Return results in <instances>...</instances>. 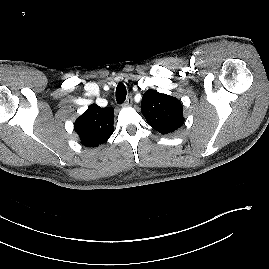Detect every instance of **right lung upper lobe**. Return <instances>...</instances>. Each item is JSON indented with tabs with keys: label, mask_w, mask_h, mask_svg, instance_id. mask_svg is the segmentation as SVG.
Masks as SVG:
<instances>
[{
	"label": "right lung upper lobe",
	"mask_w": 269,
	"mask_h": 269,
	"mask_svg": "<svg viewBox=\"0 0 269 269\" xmlns=\"http://www.w3.org/2000/svg\"><path fill=\"white\" fill-rule=\"evenodd\" d=\"M114 109L92 104L76 119L74 129L86 147H97L105 143L113 133Z\"/></svg>",
	"instance_id": "1"
}]
</instances>
